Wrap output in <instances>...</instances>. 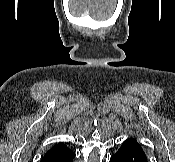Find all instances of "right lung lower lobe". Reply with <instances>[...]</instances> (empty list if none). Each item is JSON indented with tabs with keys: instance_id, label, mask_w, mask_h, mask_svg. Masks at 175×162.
Listing matches in <instances>:
<instances>
[{
	"instance_id": "98d812e1",
	"label": "right lung lower lobe",
	"mask_w": 175,
	"mask_h": 162,
	"mask_svg": "<svg viewBox=\"0 0 175 162\" xmlns=\"http://www.w3.org/2000/svg\"><path fill=\"white\" fill-rule=\"evenodd\" d=\"M75 154L67 146L51 148L42 157L41 162H72Z\"/></svg>"
}]
</instances>
